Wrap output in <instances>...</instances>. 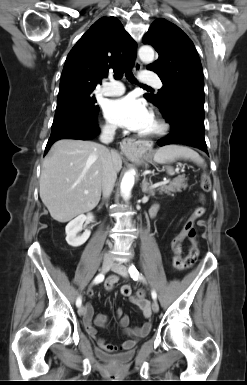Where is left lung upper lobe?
Segmentation results:
<instances>
[{"label": "left lung upper lobe", "instance_id": "left-lung-upper-lobe-1", "mask_svg": "<svg viewBox=\"0 0 247 385\" xmlns=\"http://www.w3.org/2000/svg\"><path fill=\"white\" fill-rule=\"evenodd\" d=\"M143 43L151 44L158 52L159 58L147 69L156 72L163 83L157 95L144 97L163 114L176 101L204 108L203 70L190 38L179 27L160 18L152 23Z\"/></svg>", "mask_w": 247, "mask_h": 385}]
</instances>
